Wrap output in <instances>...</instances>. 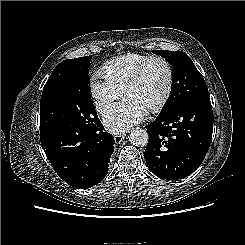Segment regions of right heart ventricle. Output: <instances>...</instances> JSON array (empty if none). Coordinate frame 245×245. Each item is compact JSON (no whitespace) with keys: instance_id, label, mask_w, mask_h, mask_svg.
Returning a JSON list of instances; mask_svg holds the SVG:
<instances>
[{"instance_id":"1","label":"right heart ventricle","mask_w":245,"mask_h":245,"mask_svg":"<svg viewBox=\"0 0 245 245\" xmlns=\"http://www.w3.org/2000/svg\"><path fill=\"white\" fill-rule=\"evenodd\" d=\"M149 57L142 54H127L107 62L103 66L102 72L112 84L123 90L135 71Z\"/></svg>"}]
</instances>
